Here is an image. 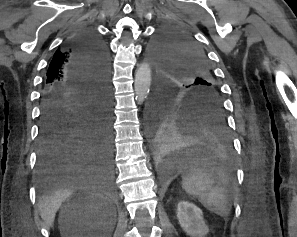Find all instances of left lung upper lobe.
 <instances>
[{"instance_id":"left-lung-upper-lobe-1","label":"left lung upper lobe","mask_w":297,"mask_h":237,"mask_svg":"<svg viewBox=\"0 0 297 237\" xmlns=\"http://www.w3.org/2000/svg\"><path fill=\"white\" fill-rule=\"evenodd\" d=\"M149 54L156 69L158 93H166L175 103L210 100L223 107L207 57L190 36L173 28L163 29L151 42Z\"/></svg>"}]
</instances>
